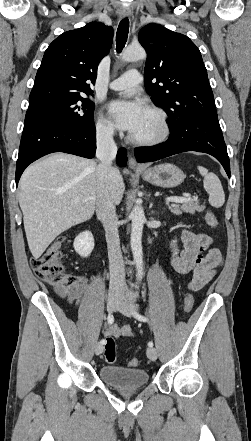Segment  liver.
<instances>
[{
	"instance_id": "liver-1",
	"label": "liver",
	"mask_w": 251,
	"mask_h": 441,
	"mask_svg": "<svg viewBox=\"0 0 251 441\" xmlns=\"http://www.w3.org/2000/svg\"><path fill=\"white\" fill-rule=\"evenodd\" d=\"M97 167L93 160L55 153L24 171L19 182V204L28 246L35 259L62 232L93 216ZM112 170V192L119 203L125 185L120 171L115 167Z\"/></svg>"
}]
</instances>
